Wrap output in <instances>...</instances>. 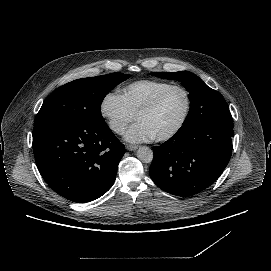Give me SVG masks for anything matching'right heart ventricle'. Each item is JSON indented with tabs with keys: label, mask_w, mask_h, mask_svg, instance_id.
Returning a JSON list of instances; mask_svg holds the SVG:
<instances>
[{
	"label": "right heart ventricle",
	"mask_w": 271,
	"mask_h": 271,
	"mask_svg": "<svg viewBox=\"0 0 271 271\" xmlns=\"http://www.w3.org/2000/svg\"><path fill=\"white\" fill-rule=\"evenodd\" d=\"M171 84L166 80H136L124 85L120 96L126 108L136 116L159 92Z\"/></svg>",
	"instance_id": "e07e8e85"
}]
</instances>
